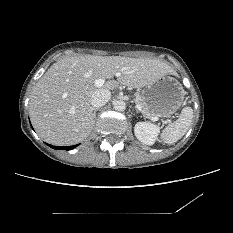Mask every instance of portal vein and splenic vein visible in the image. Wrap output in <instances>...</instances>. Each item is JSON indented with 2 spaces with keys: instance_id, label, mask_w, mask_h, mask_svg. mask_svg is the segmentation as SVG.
<instances>
[{
  "instance_id": "portal-vein-and-splenic-vein-1",
  "label": "portal vein and splenic vein",
  "mask_w": 233,
  "mask_h": 233,
  "mask_svg": "<svg viewBox=\"0 0 233 233\" xmlns=\"http://www.w3.org/2000/svg\"><path fill=\"white\" fill-rule=\"evenodd\" d=\"M94 84H95L96 87H102V86L105 84V80H104V79H96L95 82H94ZM136 107H137V109H138L139 111L142 110V108H141L140 105L137 104ZM151 119H152L153 121H157V120H158L157 117H151Z\"/></svg>"
}]
</instances>
